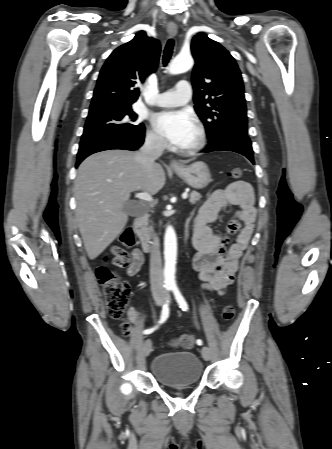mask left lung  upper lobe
<instances>
[{"label":"left lung upper lobe","mask_w":332,"mask_h":449,"mask_svg":"<svg viewBox=\"0 0 332 449\" xmlns=\"http://www.w3.org/2000/svg\"><path fill=\"white\" fill-rule=\"evenodd\" d=\"M191 51L194 108L210 142L231 132L247 133L244 85L235 59L205 33L194 36Z\"/></svg>","instance_id":"left-lung-upper-lobe-1"}]
</instances>
